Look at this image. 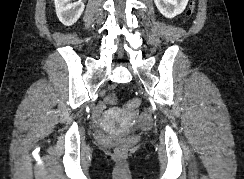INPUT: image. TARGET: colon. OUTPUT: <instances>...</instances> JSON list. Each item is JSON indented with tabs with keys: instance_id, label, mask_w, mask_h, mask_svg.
<instances>
[{
	"instance_id": "1",
	"label": "colon",
	"mask_w": 244,
	"mask_h": 179,
	"mask_svg": "<svg viewBox=\"0 0 244 179\" xmlns=\"http://www.w3.org/2000/svg\"><path fill=\"white\" fill-rule=\"evenodd\" d=\"M194 10V6H190L189 14H192ZM102 101L105 104H114L116 101V94L112 93L111 96H102ZM142 106V101L140 98H136L135 101H129L128 104H123V109H139ZM116 154L117 155H127L128 154V147H116Z\"/></svg>"
}]
</instances>
